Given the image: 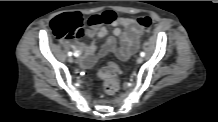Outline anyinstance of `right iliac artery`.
I'll use <instances>...</instances> for the list:
<instances>
[{
	"mask_svg": "<svg viewBox=\"0 0 218 122\" xmlns=\"http://www.w3.org/2000/svg\"><path fill=\"white\" fill-rule=\"evenodd\" d=\"M68 56H72V52H68Z\"/></svg>",
	"mask_w": 218,
	"mask_h": 122,
	"instance_id": "1",
	"label": "right iliac artery"
}]
</instances>
